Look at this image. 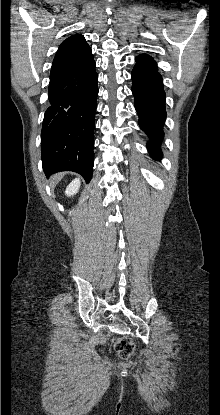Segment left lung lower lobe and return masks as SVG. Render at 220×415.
<instances>
[{
  "label": "left lung lower lobe",
  "instance_id": "obj_1",
  "mask_svg": "<svg viewBox=\"0 0 220 415\" xmlns=\"http://www.w3.org/2000/svg\"><path fill=\"white\" fill-rule=\"evenodd\" d=\"M131 78L139 126L150 137L148 150L152 158L160 160L162 153L157 144L162 141L166 119L165 92L154 59L146 54L136 57Z\"/></svg>",
  "mask_w": 220,
  "mask_h": 415
}]
</instances>
